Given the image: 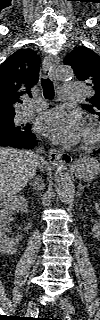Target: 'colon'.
I'll return each instance as SVG.
<instances>
[{
  "label": "colon",
  "instance_id": "5ec220e1",
  "mask_svg": "<svg viewBox=\"0 0 100 320\" xmlns=\"http://www.w3.org/2000/svg\"><path fill=\"white\" fill-rule=\"evenodd\" d=\"M52 320H60V319H52Z\"/></svg>",
  "mask_w": 100,
  "mask_h": 320
}]
</instances>
